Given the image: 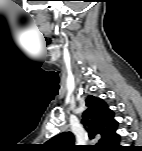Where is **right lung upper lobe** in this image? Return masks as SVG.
<instances>
[{
  "label": "right lung upper lobe",
  "instance_id": "right-lung-upper-lobe-1",
  "mask_svg": "<svg viewBox=\"0 0 142 151\" xmlns=\"http://www.w3.org/2000/svg\"><path fill=\"white\" fill-rule=\"evenodd\" d=\"M88 108L83 113V125L87 129L90 138L96 134L101 135L100 147L110 150L119 142L116 134L118 122L113 119L114 113L108 109L107 104L92 95L86 99ZM47 148L52 150H75L74 137L71 132L61 133L47 141Z\"/></svg>",
  "mask_w": 142,
  "mask_h": 151
}]
</instances>
